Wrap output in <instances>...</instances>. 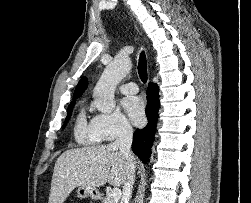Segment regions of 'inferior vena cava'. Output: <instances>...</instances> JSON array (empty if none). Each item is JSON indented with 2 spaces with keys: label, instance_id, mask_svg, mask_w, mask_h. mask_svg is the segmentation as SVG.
Returning <instances> with one entry per match:
<instances>
[{
  "label": "inferior vena cava",
  "instance_id": "inferior-vena-cava-1",
  "mask_svg": "<svg viewBox=\"0 0 251 203\" xmlns=\"http://www.w3.org/2000/svg\"><path fill=\"white\" fill-rule=\"evenodd\" d=\"M133 129L128 122L122 123L118 138L112 143V147L119 149L124 156L127 165V176L123 185L121 203H129L133 182L135 178L134 156L131 152Z\"/></svg>",
  "mask_w": 251,
  "mask_h": 203
}]
</instances>
